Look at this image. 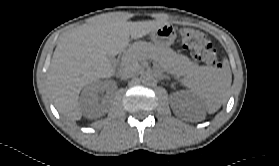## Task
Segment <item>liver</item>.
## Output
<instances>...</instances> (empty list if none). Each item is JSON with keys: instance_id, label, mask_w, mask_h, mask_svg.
<instances>
[{"instance_id": "liver-1", "label": "liver", "mask_w": 279, "mask_h": 166, "mask_svg": "<svg viewBox=\"0 0 279 166\" xmlns=\"http://www.w3.org/2000/svg\"><path fill=\"white\" fill-rule=\"evenodd\" d=\"M165 24L154 20L131 22L120 13H112L63 34L47 74L57 110L68 119L80 120L79 93L87 84L113 76L109 56L122 52L130 37L142 38Z\"/></svg>"}]
</instances>
